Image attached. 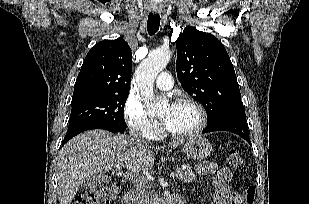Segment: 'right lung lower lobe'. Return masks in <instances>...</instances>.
I'll list each match as a JSON object with an SVG mask.
<instances>
[{"label":"right lung lower lobe","instance_id":"obj_1","mask_svg":"<svg viewBox=\"0 0 309 204\" xmlns=\"http://www.w3.org/2000/svg\"><path fill=\"white\" fill-rule=\"evenodd\" d=\"M91 129H105V130H108V131H111V132H114V133L121 132V131H118V130L102 127V126H99V125H84V126H80V127L75 128V129L69 130L67 132L64 140H63L62 145H64L68 140H70L75 135H77L81 132L87 131V130H91Z\"/></svg>","mask_w":309,"mask_h":204}]
</instances>
